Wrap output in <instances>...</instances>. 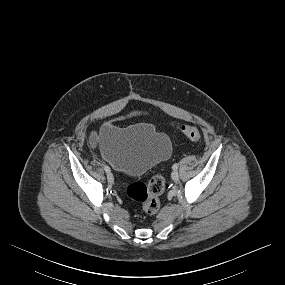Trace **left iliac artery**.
<instances>
[{
    "mask_svg": "<svg viewBox=\"0 0 285 285\" xmlns=\"http://www.w3.org/2000/svg\"><path fill=\"white\" fill-rule=\"evenodd\" d=\"M172 168H173V170H177L178 164H174V165L172 166Z\"/></svg>",
    "mask_w": 285,
    "mask_h": 285,
    "instance_id": "1",
    "label": "left iliac artery"
}]
</instances>
